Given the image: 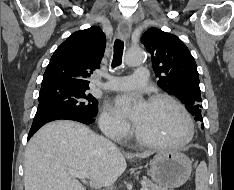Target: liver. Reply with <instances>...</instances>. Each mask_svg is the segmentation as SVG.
I'll return each mask as SVG.
<instances>
[{
  "mask_svg": "<svg viewBox=\"0 0 234 190\" xmlns=\"http://www.w3.org/2000/svg\"><path fill=\"white\" fill-rule=\"evenodd\" d=\"M125 156L134 155H124L85 125L73 121L48 123L27 144L25 190H85L70 170L86 172L93 187L110 186L125 171Z\"/></svg>",
  "mask_w": 234,
  "mask_h": 190,
  "instance_id": "1",
  "label": "liver"
}]
</instances>
